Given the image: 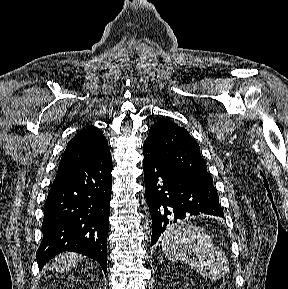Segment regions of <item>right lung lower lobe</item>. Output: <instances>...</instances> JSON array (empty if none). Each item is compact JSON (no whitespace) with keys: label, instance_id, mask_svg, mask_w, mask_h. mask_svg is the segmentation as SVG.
<instances>
[{"label":"right lung lower lobe","instance_id":"right-lung-lower-lobe-1","mask_svg":"<svg viewBox=\"0 0 288 289\" xmlns=\"http://www.w3.org/2000/svg\"><path fill=\"white\" fill-rule=\"evenodd\" d=\"M112 159L59 169L44 205L43 240L37 250L42 268L62 251L96 260L107 271Z\"/></svg>","mask_w":288,"mask_h":289}]
</instances>
